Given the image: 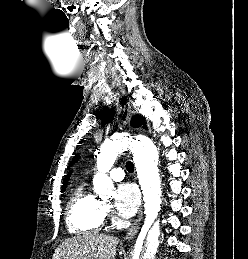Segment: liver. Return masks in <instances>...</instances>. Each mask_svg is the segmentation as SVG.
Returning a JSON list of instances; mask_svg holds the SVG:
<instances>
[{"mask_svg": "<svg viewBox=\"0 0 248 259\" xmlns=\"http://www.w3.org/2000/svg\"><path fill=\"white\" fill-rule=\"evenodd\" d=\"M118 243L114 236L86 233L66 239L52 259H114Z\"/></svg>", "mask_w": 248, "mask_h": 259, "instance_id": "liver-1", "label": "liver"}]
</instances>
